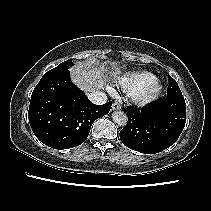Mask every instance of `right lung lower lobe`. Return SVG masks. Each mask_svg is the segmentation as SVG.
Wrapping results in <instances>:
<instances>
[{
	"mask_svg": "<svg viewBox=\"0 0 211 211\" xmlns=\"http://www.w3.org/2000/svg\"><path fill=\"white\" fill-rule=\"evenodd\" d=\"M111 105L91 103L71 82L68 71L39 81L31 96L28 118L42 143L68 149L85 141L93 122L108 114Z\"/></svg>",
	"mask_w": 211,
	"mask_h": 211,
	"instance_id": "98d812e1",
	"label": "right lung lower lobe"
}]
</instances>
